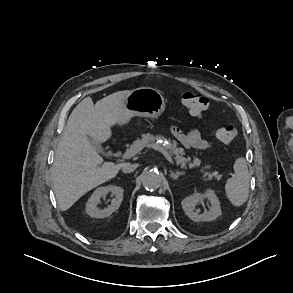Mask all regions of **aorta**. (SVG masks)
Segmentation results:
<instances>
[{
    "instance_id": "1",
    "label": "aorta",
    "mask_w": 293,
    "mask_h": 293,
    "mask_svg": "<svg viewBox=\"0 0 293 293\" xmlns=\"http://www.w3.org/2000/svg\"><path fill=\"white\" fill-rule=\"evenodd\" d=\"M142 185L146 190L158 189L161 185V175L154 170L144 172L142 174Z\"/></svg>"
}]
</instances>
